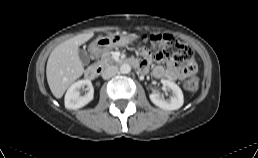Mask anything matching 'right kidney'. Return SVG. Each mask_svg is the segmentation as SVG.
I'll list each match as a JSON object with an SVG mask.
<instances>
[{
	"instance_id": "obj_1",
	"label": "right kidney",
	"mask_w": 258,
	"mask_h": 158,
	"mask_svg": "<svg viewBox=\"0 0 258 158\" xmlns=\"http://www.w3.org/2000/svg\"><path fill=\"white\" fill-rule=\"evenodd\" d=\"M86 87V93L84 95L80 94L81 88ZM94 98V89L92 83L88 79L79 80L72 84L65 94V107L67 109H79Z\"/></svg>"
}]
</instances>
